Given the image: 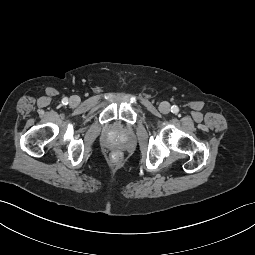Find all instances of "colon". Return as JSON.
<instances>
[{
	"instance_id": "obj_1",
	"label": "colon",
	"mask_w": 255,
	"mask_h": 255,
	"mask_svg": "<svg viewBox=\"0 0 255 255\" xmlns=\"http://www.w3.org/2000/svg\"><path fill=\"white\" fill-rule=\"evenodd\" d=\"M112 158H113V160H119L120 154L118 152H114Z\"/></svg>"
}]
</instances>
